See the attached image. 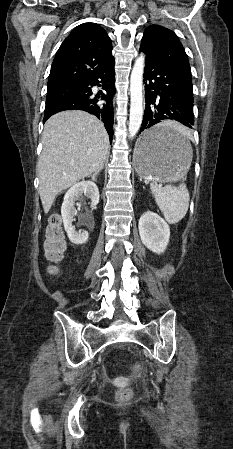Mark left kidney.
I'll return each instance as SVG.
<instances>
[{
	"label": "left kidney",
	"mask_w": 233,
	"mask_h": 449,
	"mask_svg": "<svg viewBox=\"0 0 233 449\" xmlns=\"http://www.w3.org/2000/svg\"><path fill=\"white\" fill-rule=\"evenodd\" d=\"M139 234L142 243L152 252L165 251L170 238L169 225L158 214L147 211L139 219Z\"/></svg>",
	"instance_id": "left-kidney-1"
}]
</instances>
